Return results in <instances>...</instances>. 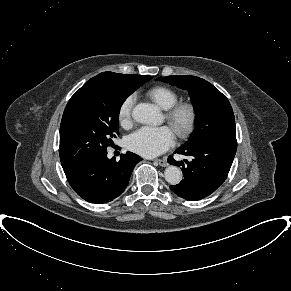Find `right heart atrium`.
Wrapping results in <instances>:
<instances>
[{"instance_id": "1", "label": "right heart atrium", "mask_w": 291, "mask_h": 291, "mask_svg": "<svg viewBox=\"0 0 291 291\" xmlns=\"http://www.w3.org/2000/svg\"><path fill=\"white\" fill-rule=\"evenodd\" d=\"M135 104V96H127L119 106L118 121L121 126L127 127L132 121V111Z\"/></svg>"}]
</instances>
